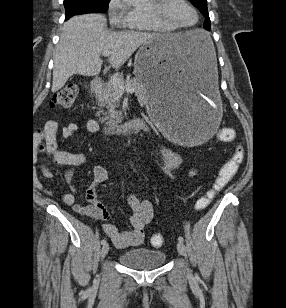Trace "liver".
<instances>
[{
    "instance_id": "liver-1",
    "label": "liver",
    "mask_w": 286,
    "mask_h": 308,
    "mask_svg": "<svg viewBox=\"0 0 286 308\" xmlns=\"http://www.w3.org/2000/svg\"><path fill=\"white\" fill-rule=\"evenodd\" d=\"M167 36L176 45L192 46L197 38L183 33L161 35L143 32H108L100 14L78 15L66 21L56 47L52 92L60 90L73 74L97 76L103 51H110L113 68L119 69L145 42Z\"/></svg>"
}]
</instances>
